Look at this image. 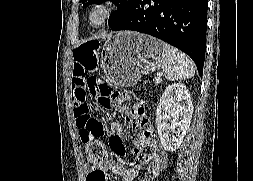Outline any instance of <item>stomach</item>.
<instances>
[{
  "label": "stomach",
  "instance_id": "stomach-1",
  "mask_svg": "<svg viewBox=\"0 0 253 181\" xmlns=\"http://www.w3.org/2000/svg\"><path fill=\"white\" fill-rule=\"evenodd\" d=\"M162 42L152 36L122 31L106 40L101 50V68L107 81L120 87L135 85L144 74L162 66Z\"/></svg>",
  "mask_w": 253,
  "mask_h": 181
}]
</instances>
